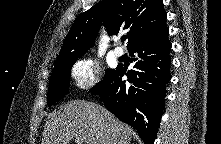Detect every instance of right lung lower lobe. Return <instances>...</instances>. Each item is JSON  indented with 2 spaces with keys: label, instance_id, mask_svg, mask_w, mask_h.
<instances>
[{
  "label": "right lung lower lobe",
  "instance_id": "right-lung-lower-lobe-1",
  "mask_svg": "<svg viewBox=\"0 0 221 144\" xmlns=\"http://www.w3.org/2000/svg\"><path fill=\"white\" fill-rule=\"evenodd\" d=\"M167 36L165 23L135 40L128 47L134 70L125 73L118 66L92 91L119 120L133 126L145 144L154 143L164 110L166 84L171 79V43ZM124 74L127 83L122 80Z\"/></svg>",
  "mask_w": 221,
  "mask_h": 144
}]
</instances>
